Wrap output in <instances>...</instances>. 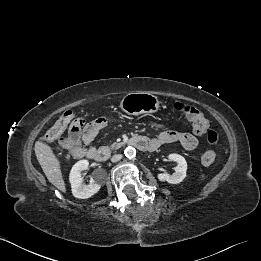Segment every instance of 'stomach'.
<instances>
[{
	"label": "stomach",
	"mask_w": 261,
	"mask_h": 261,
	"mask_svg": "<svg viewBox=\"0 0 261 261\" xmlns=\"http://www.w3.org/2000/svg\"><path fill=\"white\" fill-rule=\"evenodd\" d=\"M160 102L155 95L150 93H128L120 102V109L129 115L155 113L158 111Z\"/></svg>",
	"instance_id": "obj_1"
}]
</instances>
